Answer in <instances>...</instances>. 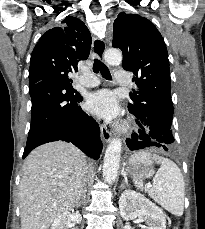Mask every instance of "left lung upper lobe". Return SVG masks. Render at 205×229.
<instances>
[{
    "label": "left lung upper lobe",
    "mask_w": 205,
    "mask_h": 229,
    "mask_svg": "<svg viewBox=\"0 0 205 229\" xmlns=\"http://www.w3.org/2000/svg\"><path fill=\"white\" fill-rule=\"evenodd\" d=\"M112 46L123 52L122 66L134 73L139 91L130 93L128 109L140 119L171 131L173 103L168 53L157 28L137 14L121 12L114 21ZM174 142L165 144L170 147Z\"/></svg>",
    "instance_id": "1"
}]
</instances>
